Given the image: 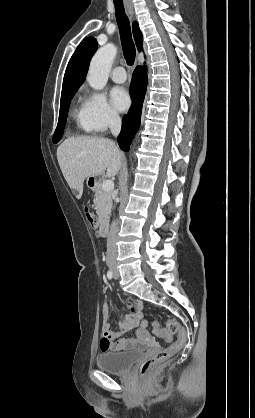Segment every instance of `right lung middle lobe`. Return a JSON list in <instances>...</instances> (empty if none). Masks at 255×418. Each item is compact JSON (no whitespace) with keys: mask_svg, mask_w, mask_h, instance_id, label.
I'll return each instance as SVG.
<instances>
[{"mask_svg":"<svg viewBox=\"0 0 255 418\" xmlns=\"http://www.w3.org/2000/svg\"><path fill=\"white\" fill-rule=\"evenodd\" d=\"M76 91L77 90L61 93L59 121L53 136V143L59 142L62 138L63 130L67 119L68 109L70 106V101L76 93Z\"/></svg>","mask_w":255,"mask_h":418,"instance_id":"right-lung-middle-lobe-1","label":"right lung middle lobe"}]
</instances>
